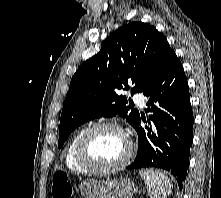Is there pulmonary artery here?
<instances>
[{"mask_svg": "<svg viewBox=\"0 0 221 198\" xmlns=\"http://www.w3.org/2000/svg\"><path fill=\"white\" fill-rule=\"evenodd\" d=\"M133 99L136 103H138L140 106H144V96L140 93H135L133 95Z\"/></svg>", "mask_w": 221, "mask_h": 198, "instance_id": "1", "label": "pulmonary artery"}]
</instances>
